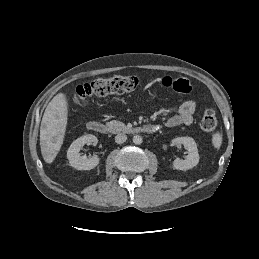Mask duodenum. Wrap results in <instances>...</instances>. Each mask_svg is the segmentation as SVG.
I'll return each mask as SVG.
<instances>
[{"instance_id":"410a0bca","label":"duodenum","mask_w":259,"mask_h":259,"mask_svg":"<svg viewBox=\"0 0 259 259\" xmlns=\"http://www.w3.org/2000/svg\"><path fill=\"white\" fill-rule=\"evenodd\" d=\"M87 128L95 133L99 134H106L109 132V127L99 121H90L87 124ZM158 130V127L156 125H142L134 128L127 129L130 133H146V134H153Z\"/></svg>"}]
</instances>
